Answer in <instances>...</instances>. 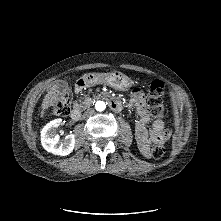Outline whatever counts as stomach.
<instances>
[{
    "label": "stomach",
    "mask_w": 221,
    "mask_h": 221,
    "mask_svg": "<svg viewBox=\"0 0 221 221\" xmlns=\"http://www.w3.org/2000/svg\"><path fill=\"white\" fill-rule=\"evenodd\" d=\"M77 82V85L86 87L104 83L120 91L129 90L133 86V81L120 71H113L105 74L87 73L83 75Z\"/></svg>",
    "instance_id": "1"
}]
</instances>
